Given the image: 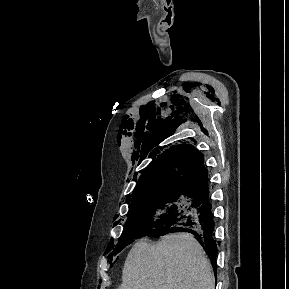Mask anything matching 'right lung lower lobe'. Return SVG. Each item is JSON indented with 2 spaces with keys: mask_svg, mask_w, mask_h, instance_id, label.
<instances>
[{
  "mask_svg": "<svg viewBox=\"0 0 289 289\" xmlns=\"http://www.w3.org/2000/svg\"><path fill=\"white\" fill-rule=\"evenodd\" d=\"M199 204L193 209L190 216L180 222L177 226L167 230L166 232L154 233L150 236H162L172 232H189L196 236L203 246L206 254L209 256L213 269L216 272V241L213 238L214 220L212 214V205L209 193L198 196Z\"/></svg>",
  "mask_w": 289,
  "mask_h": 289,
  "instance_id": "1",
  "label": "right lung lower lobe"
}]
</instances>
